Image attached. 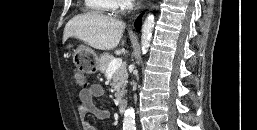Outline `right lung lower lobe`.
I'll use <instances>...</instances> for the list:
<instances>
[{
    "mask_svg": "<svg viewBox=\"0 0 257 130\" xmlns=\"http://www.w3.org/2000/svg\"><path fill=\"white\" fill-rule=\"evenodd\" d=\"M135 27L137 30H140V27H141V18L140 17L138 18L137 23L135 24Z\"/></svg>",
    "mask_w": 257,
    "mask_h": 130,
    "instance_id": "obj_1",
    "label": "right lung lower lobe"
}]
</instances>
